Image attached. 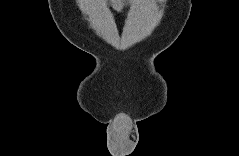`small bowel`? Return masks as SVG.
<instances>
[{"label": "small bowel", "instance_id": "small-bowel-1", "mask_svg": "<svg viewBox=\"0 0 239 156\" xmlns=\"http://www.w3.org/2000/svg\"><path fill=\"white\" fill-rule=\"evenodd\" d=\"M112 9L116 11H121L123 8L127 6H134L137 5V1H123V0H113L109 2Z\"/></svg>", "mask_w": 239, "mask_h": 156}]
</instances>
